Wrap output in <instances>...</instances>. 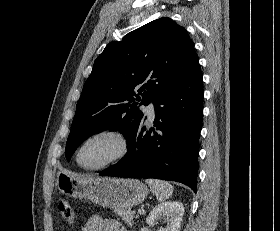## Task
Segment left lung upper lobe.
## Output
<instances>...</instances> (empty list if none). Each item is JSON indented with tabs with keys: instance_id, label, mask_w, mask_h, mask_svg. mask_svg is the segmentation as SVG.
<instances>
[{
	"instance_id": "5c2ea615",
	"label": "left lung upper lobe",
	"mask_w": 280,
	"mask_h": 231,
	"mask_svg": "<svg viewBox=\"0 0 280 231\" xmlns=\"http://www.w3.org/2000/svg\"><path fill=\"white\" fill-rule=\"evenodd\" d=\"M199 68L187 31L168 17L109 43L95 60L77 102L67 160L88 137L103 130H119L127 140L143 120L139 106L154 102Z\"/></svg>"
}]
</instances>
